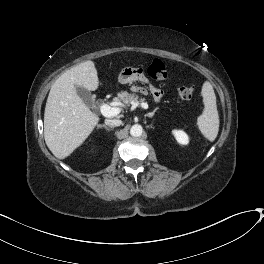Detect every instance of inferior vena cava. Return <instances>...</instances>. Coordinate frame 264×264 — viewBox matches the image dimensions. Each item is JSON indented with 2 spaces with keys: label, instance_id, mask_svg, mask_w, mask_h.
<instances>
[{
  "label": "inferior vena cava",
  "instance_id": "inferior-vena-cava-1",
  "mask_svg": "<svg viewBox=\"0 0 264 264\" xmlns=\"http://www.w3.org/2000/svg\"><path fill=\"white\" fill-rule=\"evenodd\" d=\"M105 124L110 127L120 126L122 124V121L119 119H106Z\"/></svg>",
  "mask_w": 264,
  "mask_h": 264
}]
</instances>
